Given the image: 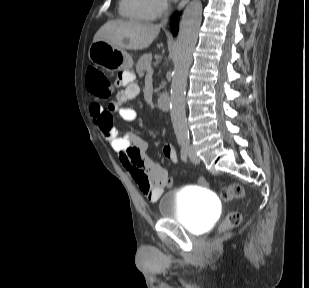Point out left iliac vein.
I'll return each mask as SVG.
<instances>
[{
	"instance_id": "left-iliac-vein-1",
	"label": "left iliac vein",
	"mask_w": 309,
	"mask_h": 288,
	"mask_svg": "<svg viewBox=\"0 0 309 288\" xmlns=\"http://www.w3.org/2000/svg\"><path fill=\"white\" fill-rule=\"evenodd\" d=\"M189 159L191 162L197 164L200 162L199 157L196 155L194 149L192 147L189 148Z\"/></svg>"
}]
</instances>
